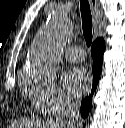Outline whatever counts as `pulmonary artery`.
<instances>
[{
  "label": "pulmonary artery",
  "instance_id": "e3ab8cb5",
  "mask_svg": "<svg viewBox=\"0 0 125 128\" xmlns=\"http://www.w3.org/2000/svg\"><path fill=\"white\" fill-rule=\"evenodd\" d=\"M65 57L67 60L71 62H81L85 59L86 54L82 47L74 46V47L69 48L65 52Z\"/></svg>",
  "mask_w": 125,
  "mask_h": 128
}]
</instances>
